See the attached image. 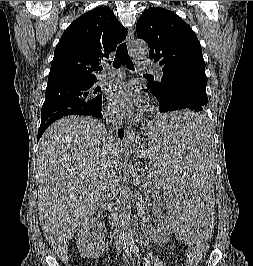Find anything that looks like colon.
<instances>
[{"label": "colon", "instance_id": "obj_1", "mask_svg": "<svg viewBox=\"0 0 253 266\" xmlns=\"http://www.w3.org/2000/svg\"><path fill=\"white\" fill-rule=\"evenodd\" d=\"M207 249L208 245L207 248H191L186 254L184 265L198 266L202 258L204 257L205 253L207 252Z\"/></svg>", "mask_w": 253, "mask_h": 266}]
</instances>
